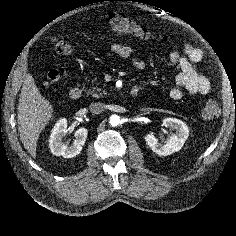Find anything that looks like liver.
<instances>
[{
    "instance_id": "liver-1",
    "label": "liver",
    "mask_w": 236,
    "mask_h": 236,
    "mask_svg": "<svg viewBox=\"0 0 236 236\" xmlns=\"http://www.w3.org/2000/svg\"><path fill=\"white\" fill-rule=\"evenodd\" d=\"M17 110L20 140L35 158L39 134L52 118L53 106L40 94L31 74L25 77Z\"/></svg>"
}]
</instances>
